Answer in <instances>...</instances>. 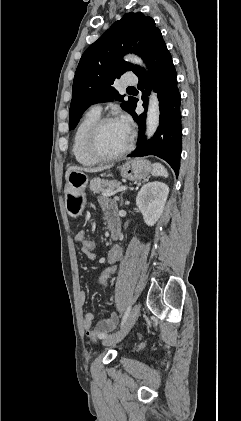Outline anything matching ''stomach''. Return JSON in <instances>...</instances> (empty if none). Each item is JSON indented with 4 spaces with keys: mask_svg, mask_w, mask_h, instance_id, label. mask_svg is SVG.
<instances>
[{
    "mask_svg": "<svg viewBox=\"0 0 241 421\" xmlns=\"http://www.w3.org/2000/svg\"><path fill=\"white\" fill-rule=\"evenodd\" d=\"M152 171V165L145 159L128 160L120 166V174L130 181L145 179ZM88 176L81 171H71L64 189L65 209L69 216L77 218L86 206L85 189Z\"/></svg>",
    "mask_w": 241,
    "mask_h": 421,
    "instance_id": "0dacf381",
    "label": "stomach"
}]
</instances>
